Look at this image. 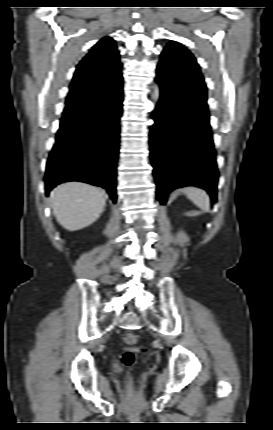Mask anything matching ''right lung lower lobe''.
I'll use <instances>...</instances> for the list:
<instances>
[{"mask_svg": "<svg viewBox=\"0 0 273 430\" xmlns=\"http://www.w3.org/2000/svg\"><path fill=\"white\" fill-rule=\"evenodd\" d=\"M87 94L86 105L60 121L46 166L45 192L62 182L81 181L106 189L115 203L122 80H103Z\"/></svg>", "mask_w": 273, "mask_h": 430, "instance_id": "right-lung-lower-lobe-1", "label": "right lung lower lobe"}]
</instances>
